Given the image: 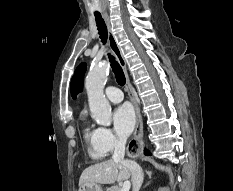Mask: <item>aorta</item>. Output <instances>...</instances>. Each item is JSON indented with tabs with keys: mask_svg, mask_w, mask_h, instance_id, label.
<instances>
[{
	"mask_svg": "<svg viewBox=\"0 0 233 191\" xmlns=\"http://www.w3.org/2000/svg\"><path fill=\"white\" fill-rule=\"evenodd\" d=\"M109 72V65L103 62L90 69L85 88L92 118L102 126L111 124V106L104 95V86Z\"/></svg>",
	"mask_w": 233,
	"mask_h": 191,
	"instance_id": "obj_1",
	"label": "aorta"
}]
</instances>
